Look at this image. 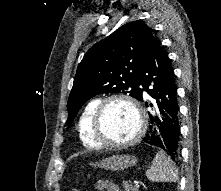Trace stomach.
<instances>
[{
    "mask_svg": "<svg viewBox=\"0 0 221 191\" xmlns=\"http://www.w3.org/2000/svg\"><path fill=\"white\" fill-rule=\"evenodd\" d=\"M137 158L129 155H114L103 159L99 163L97 162L94 166L102 167L107 170H124L125 168L136 165Z\"/></svg>",
    "mask_w": 221,
    "mask_h": 191,
    "instance_id": "1",
    "label": "stomach"
}]
</instances>
